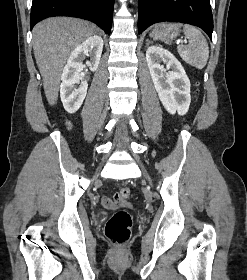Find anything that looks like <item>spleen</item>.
Instances as JSON below:
<instances>
[{
  "label": "spleen",
  "mask_w": 247,
  "mask_h": 280,
  "mask_svg": "<svg viewBox=\"0 0 247 280\" xmlns=\"http://www.w3.org/2000/svg\"><path fill=\"white\" fill-rule=\"evenodd\" d=\"M176 25L183 26L184 34L189 41L187 46L179 45L177 47L180 57L197 69L204 68L209 58V47L205 37L199 29L192 25Z\"/></svg>",
  "instance_id": "spleen-1"
}]
</instances>
